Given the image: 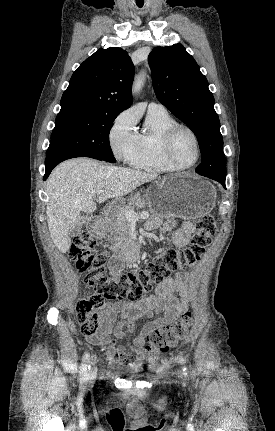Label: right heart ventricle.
Here are the masks:
<instances>
[{"instance_id":"obj_1","label":"right heart ventricle","mask_w":275,"mask_h":431,"mask_svg":"<svg viewBox=\"0 0 275 431\" xmlns=\"http://www.w3.org/2000/svg\"><path fill=\"white\" fill-rule=\"evenodd\" d=\"M176 124L166 110H148L143 129L138 133V152L131 165L154 173L177 170L165 160L162 150L166 132Z\"/></svg>"}]
</instances>
